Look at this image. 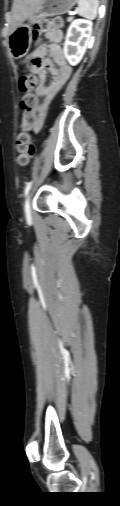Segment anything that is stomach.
Here are the masks:
<instances>
[{"label":"stomach","instance_id":"stomach-1","mask_svg":"<svg viewBox=\"0 0 120 506\" xmlns=\"http://www.w3.org/2000/svg\"><path fill=\"white\" fill-rule=\"evenodd\" d=\"M78 0H43L27 18L30 24L37 23L45 17L61 15L68 12ZM8 47L15 59L24 57L32 42V29L29 24H22L12 31L8 38Z\"/></svg>","mask_w":120,"mask_h":506}]
</instances>
